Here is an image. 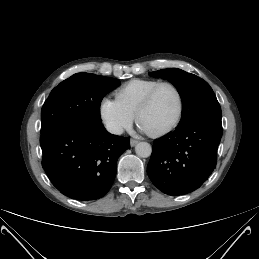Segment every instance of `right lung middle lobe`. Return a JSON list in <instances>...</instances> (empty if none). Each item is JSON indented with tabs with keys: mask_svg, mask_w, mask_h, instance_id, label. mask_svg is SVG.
Instances as JSON below:
<instances>
[{
	"mask_svg": "<svg viewBox=\"0 0 259 259\" xmlns=\"http://www.w3.org/2000/svg\"><path fill=\"white\" fill-rule=\"evenodd\" d=\"M120 81L91 73H76L50 93L41 110V131L63 123L101 124L100 104Z\"/></svg>",
	"mask_w": 259,
	"mask_h": 259,
	"instance_id": "right-lung-middle-lobe-1",
	"label": "right lung middle lobe"
}]
</instances>
